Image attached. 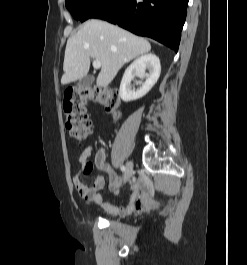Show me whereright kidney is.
Segmentation results:
<instances>
[{
    "mask_svg": "<svg viewBox=\"0 0 247 265\" xmlns=\"http://www.w3.org/2000/svg\"><path fill=\"white\" fill-rule=\"evenodd\" d=\"M146 70H148V73H146ZM160 72V60L155 54L149 53L137 58L124 72L119 90L121 99L129 102L146 95L156 84ZM135 76L141 79L146 77L145 82L137 90L131 85V81Z\"/></svg>",
    "mask_w": 247,
    "mask_h": 265,
    "instance_id": "1",
    "label": "right kidney"
}]
</instances>
